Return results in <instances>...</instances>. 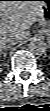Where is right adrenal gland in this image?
I'll return each instance as SVG.
<instances>
[{
  "label": "right adrenal gland",
  "instance_id": "2a0ac1e0",
  "mask_svg": "<svg viewBox=\"0 0 50 111\" xmlns=\"http://www.w3.org/2000/svg\"><path fill=\"white\" fill-rule=\"evenodd\" d=\"M7 48H9V47H6V48H4V50H1V55H3L5 58L7 56Z\"/></svg>",
  "mask_w": 50,
  "mask_h": 111
}]
</instances>
